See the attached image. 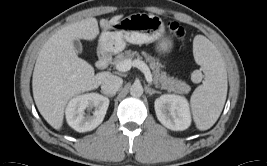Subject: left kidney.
<instances>
[{"instance_id": "obj_1", "label": "left kidney", "mask_w": 267, "mask_h": 166, "mask_svg": "<svg viewBox=\"0 0 267 166\" xmlns=\"http://www.w3.org/2000/svg\"><path fill=\"white\" fill-rule=\"evenodd\" d=\"M154 107L158 120L170 130L182 131L191 124L189 104L183 96L161 95L155 100Z\"/></svg>"}]
</instances>
